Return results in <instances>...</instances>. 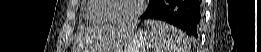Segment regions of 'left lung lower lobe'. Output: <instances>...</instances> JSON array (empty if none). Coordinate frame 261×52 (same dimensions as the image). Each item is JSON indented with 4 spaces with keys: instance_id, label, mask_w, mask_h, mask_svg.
<instances>
[{
    "instance_id": "left-lung-lower-lobe-1",
    "label": "left lung lower lobe",
    "mask_w": 261,
    "mask_h": 52,
    "mask_svg": "<svg viewBox=\"0 0 261 52\" xmlns=\"http://www.w3.org/2000/svg\"><path fill=\"white\" fill-rule=\"evenodd\" d=\"M202 18V0H152L141 19H158L197 38Z\"/></svg>"
}]
</instances>
